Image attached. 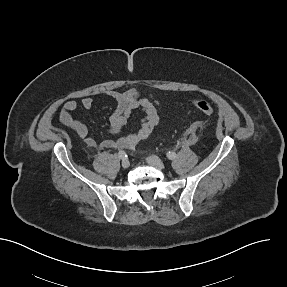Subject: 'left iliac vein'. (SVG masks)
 Wrapping results in <instances>:
<instances>
[{"label": "left iliac vein", "mask_w": 287, "mask_h": 287, "mask_svg": "<svg viewBox=\"0 0 287 287\" xmlns=\"http://www.w3.org/2000/svg\"><path fill=\"white\" fill-rule=\"evenodd\" d=\"M146 161L149 165L154 166L158 169H163L165 167L164 162L160 158H158L157 156H149L146 159Z\"/></svg>", "instance_id": "obj_1"}]
</instances>
